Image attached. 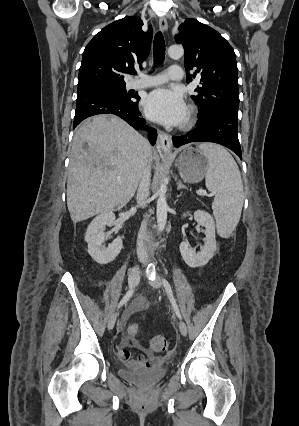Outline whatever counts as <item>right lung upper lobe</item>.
<instances>
[{
  "instance_id": "obj_1",
  "label": "right lung upper lobe",
  "mask_w": 299,
  "mask_h": 426,
  "mask_svg": "<svg viewBox=\"0 0 299 426\" xmlns=\"http://www.w3.org/2000/svg\"><path fill=\"white\" fill-rule=\"evenodd\" d=\"M142 25L140 18L125 17L95 35L83 52L78 86L125 84L124 74L149 54L152 30Z\"/></svg>"
}]
</instances>
